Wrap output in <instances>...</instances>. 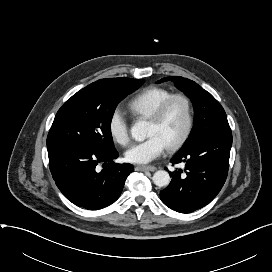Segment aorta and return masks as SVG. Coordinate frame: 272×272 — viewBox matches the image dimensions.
<instances>
[{
  "label": "aorta",
  "mask_w": 272,
  "mask_h": 272,
  "mask_svg": "<svg viewBox=\"0 0 272 272\" xmlns=\"http://www.w3.org/2000/svg\"><path fill=\"white\" fill-rule=\"evenodd\" d=\"M148 134V123L138 121L131 127V135L137 141H143ZM153 182L158 187L167 186L170 183L169 173L165 170H158L153 175Z\"/></svg>",
  "instance_id": "1"
}]
</instances>
